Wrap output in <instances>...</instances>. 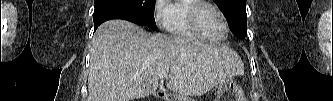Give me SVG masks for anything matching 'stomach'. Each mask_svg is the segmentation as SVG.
<instances>
[{"label":"stomach","instance_id":"obj_1","mask_svg":"<svg viewBox=\"0 0 333 101\" xmlns=\"http://www.w3.org/2000/svg\"><path fill=\"white\" fill-rule=\"evenodd\" d=\"M216 87L217 97L214 101H246L242 88L233 78L225 80Z\"/></svg>","mask_w":333,"mask_h":101}]
</instances>
